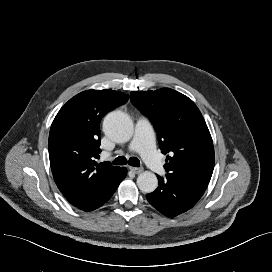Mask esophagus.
<instances>
[{
    "label": "esophagus",
    "instance_id": "34e87169",
    "mask_svg": "<svg viewBox=\"0 0 272 272\" xmlns=\"http://www.w3.org/2000/svg\"><path fill=\"white\" fill-rule=\"evenodd\" d=\"M129 169L134 172L135 174H140L143 171V168H138V167H132L129 166Z\"/></svg>",
    "mask_w": 272,
    "mask_h": 272
}]
</instances>
